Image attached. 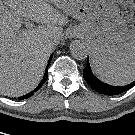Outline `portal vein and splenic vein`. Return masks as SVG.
Returning a JSON list of instances; mask_svg holds the SVG:
<instances>
[{"label":"portal vein and splenic vein","instance_id":"portal-vein-and-splenic-vein-1","mask_svg":"<svg viewBox=\"0 0 135 135\" xmlns=\"http://www.w3.org/2000/svg\"><path fill=\"white\" fill-rule=\"evenodd\" d=\"M32 27H33V24L32 23H30V22L26 23V28L27 29L32 28Z\"/></svg>","mask_w":135,"mask_h":135}]
</instances>
